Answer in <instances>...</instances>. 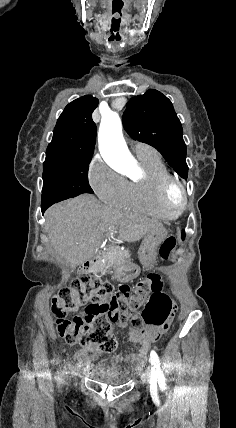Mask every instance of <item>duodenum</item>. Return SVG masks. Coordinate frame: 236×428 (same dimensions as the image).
Instances as JSON below:
<instances>
[{
	"instance_id": "duodenum-1",
	"label": "duodenum",
	"mask_w": 236,
	"mask_h": 428,
	"mask_svg": "<svg viewBox=\"0 0 236 428\" xmlns=\"http://www.w3.org/2000/svg\"><path fill=\"white\" fill-rule=\"evenodd\" d=\"M103 257H104V253H100L95 257L85 261L81 267V273L87 274L96 265V263L100 261ZM114 265L116 266V263H114Z\"/></svg>"
}]
</instances>
